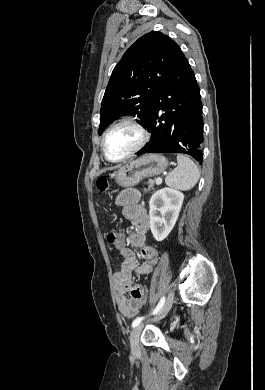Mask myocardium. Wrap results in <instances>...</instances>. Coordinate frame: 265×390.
<instances>
[{"label": "myocardium", "instance_id": "1", "mask_svg": "<svg viewBox=\"0 0 265 390\" xmlns=\"http://www.w3.org/2000/svg\"><path fill=\"white\" fill-rule=\"evenodd\" d=\"M121 126H128V127L133 128L138 134V141L132 147V149L129 150L128 153H126L122 158L117 159V160H111L107 156L106 140H107L108 135L113 130H115L116 128L121 127ZM148 140H149V133H148L147 129L145 128V126L135 118L126 117V118L120 119L117 122L113 123L105 131V133L102 137V141H101L102 154H103L104 158L110 163H121V162L128 160L129 158L134 156L136 153H138L147 144Z\"/></svg>", "mask_w": 265, "mask_h": 390}]
</instances>
